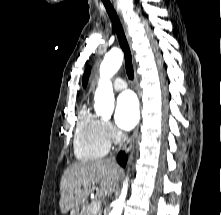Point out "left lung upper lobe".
I'll use <instances>...</instances> for the list:
<instances>
[{
    "label": "left lung upper lobe",
    "instance_id": "5c2ea615",
    "mask_svg": "<svg viewBox=\"0 0 221 215\" xmlns=\"http://www.w3.org/2000/svg\"><path fill=\"white\" fill-rule=\"evenodd\" d=\"M90 70L91 68L90 67H87L85 72H84V75H83V79H82V84H83V87L85 88L86 85H87V82H88V78H89V75H90Z\"/></svg>",
    "mask_w": 221,
    "mask_h": 215
}]
</instances>
